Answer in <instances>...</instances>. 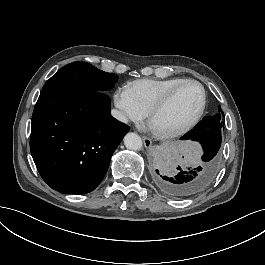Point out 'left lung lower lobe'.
Segmentation results:
<instances>
[{"mask_svg": "<svg viewBox=\"0 0 265 265\" xmlns=\"http://www.w3.org/2000/svg\"><path fill=\"white\" fill-rule=\"evenodd\" d=\"M222 126L207 116L181 137L201 146V153L191 168L176 167L179 159L173 150H164L156 156L152 180L159 190L172 198H190L211 185L221 164Z\"/></svg>", "mask_w": 265, "mask_h": 265, "instance_id": "left-lung-lower-lobe-1", "label": "left lung lower lobe"}]
</instances>
